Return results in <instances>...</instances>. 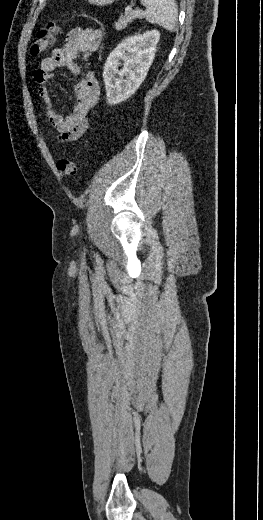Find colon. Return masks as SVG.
Masks as SVG:
<instances>
[{
    "label": "colon",
    "instance_id": "1",
    "mask_svg": "<svg viewBox=\"0 0 263 520\" xmlns=\"http://www.w3.org/2000/svg\"><path fill=\"white\" fill-rule=\"evenodd\" d=\"M62 26L61 20L51 21L45 28L41 29L31 46V55L39 56L49 50ZM57 169L63 178H70L77 174L78 165L69 159H61L57 162Z\"/></svg>",
    "mask_w": 263,
    "mask_h": 520
}]
</instances>
